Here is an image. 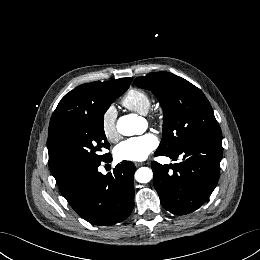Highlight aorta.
I'll return each mask as SVG.
<instances>
[{
    "mask_svg": "<svg viewBox=\"0 0 260 260\" xmlns=\"http://www.w3.org/2000/svg\"><path fill=\"white\" fill-rule=\"evenodd\" d=\"M117 131L124 136H132L142 131L141 119L134 115H125L118 119ZM153 178V172L148 167H141L135 173V179L139 183H148Z\"/></svg>",
    "mask_w": 260,
    "mask_h": 260,
    "instance_id": "1",
    "label": "aorta"
}]
</instances>
